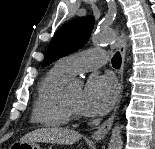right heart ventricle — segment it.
Segmentation results:
<instances>
[{"label": "right heart ventricle", "instance_id": "right-heart-ventricle-1", "mask_svg": "<svg viewBox=\"0 0 155 149\" xmlns=\"http://www.w3.org/2000/svg\"><path fill=\"white\" fill-rule=\"evenodd\" d=\"M70 79L58 64L51 68L38 84L32 111V121L45 127H60L69 122L62 103L64 85Z\"/></svg>", "mask_w": 155, "mask_h": 149}]
</instances>
